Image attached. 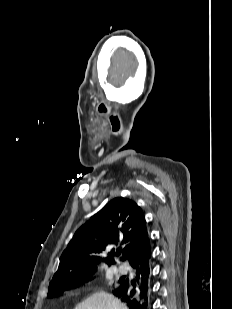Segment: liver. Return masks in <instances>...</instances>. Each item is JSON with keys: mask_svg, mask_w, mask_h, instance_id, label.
Wrapping results in <instances>:
<instances>
[{"mask_svg": "<svg viewBox=\"0 0 232 309\" xmlns=\"http://www.w3.org/2000/svg\"><path fill=\"white\" fill-rule=\"evenodd\" d=\"M74 309H128L113 295L97 292L78 304Z\"/></svg>", "mask_w": 232, "mask_h": 309, "instance_id": "1", "label": "liver"}]
</instances>
